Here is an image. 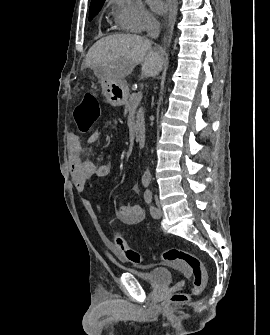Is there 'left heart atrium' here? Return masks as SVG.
Masks as SVG:
<instances>
[{
    "instance_id": "1",
    "label": "left heart atrium",
    "mask_w": 270,
    "mask_h": 335,
    "mask_svg": "<svg viewBox=\"0 0 270 335\" xmlns=\"http://www.w3.org/2000/svg\"><path fill=\"white\" fill-rule=\"evenodd\" d=\"M151 7L158 14H160L162 12V6H161V3L159 1H152L151 2Z\"/></svg>"
}]
</instances>
